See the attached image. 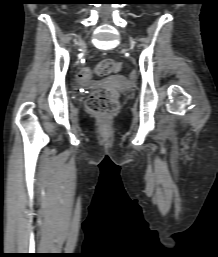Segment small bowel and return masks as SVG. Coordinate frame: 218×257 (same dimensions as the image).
Returning <instances> with one entry per match:
<instances>
[{"mask_svg":"<svg viewBox=\"0 0 218 257\" xmlns=\"http://www.w3.org/2000/svg\"><path fill=\"white\" fill-rule=\"evenodd\" d=\"M88 74H90V73H88ZM74 78H77V73H74ZM76 84H78L77 79H76Z\"/></svg>","mask_w":218,"mask_h":257,"instance_id":"c3829d8e","label":"small bowel"}]
</instances>
